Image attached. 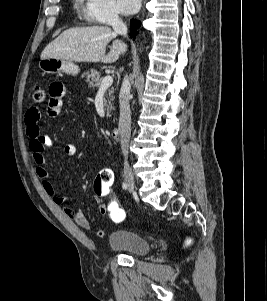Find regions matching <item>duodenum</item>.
Returning <instances> with one entry per match:
<instances>
[{
    "instance_id": "1",
    "label": "duodenum",
    "mask_w": 267,
    "mask_h": 301,
    "mask_svg": "<svg viewBox=\"0 0 267 301\" xmlns=\"http://www.w3.org/2000/svg\"><path fill=\"white\" fill-rule=\"evenodd\" d=\"M111 137L114 140L119 139V137H120V128L119 127L112 128V130H111Z\"/></svg>"
}]
</instances>
